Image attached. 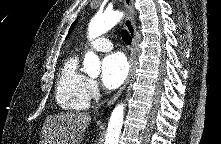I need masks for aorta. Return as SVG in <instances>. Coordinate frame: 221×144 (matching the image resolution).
Instances as JSON below:
<instances>
[{
  "mask_svg": "<svg viewBox=\"0 0 221 144\" xmlns=\"http://www.w3.org/2000/svg\"><path fill=\"white\" fill-rule=\"evenodd\" d=\"M120 11H107L93 17L88 26V38L90 40L99 37L113 28L122 18ZM83 70L91 77H97L100 73L99 57L88 51L83 61ZM124 116V104L120 103L113 109L107 127L105 144H118Z\"/></svg>",
  "mask_w": 221,
  "mask_h": 144,
  "instance_id": "1",
  "label": "aorta"
}]
</instances>
